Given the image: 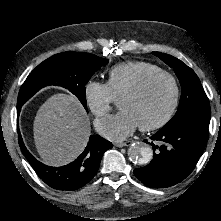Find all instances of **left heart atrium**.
Segmentation results:
<instances>
[{
	"mask_svg": "<svg viewBox=\"0 0 221 221\" xmlns=\"http://www.w3.org/2000/svg\"><path fill=\"white\" fill-rule=\"evenodd\" d=\"M97 126L105 137L119 141L132 134L139 124L131 112L121 109L115 115L98 122Z\"/></svg>",
	"mask_w": 221,
	"mask_h": 221,
	"instance_id": "1",
	"label": "left heart atrium"
}]
</instances>
